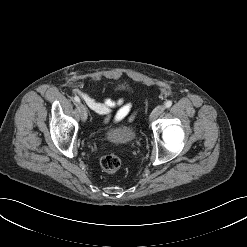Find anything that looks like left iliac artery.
Here are the masks:
<instances>
[{"mask_svg":"<svg viewBox=\"0 0 247 247\" xmlns=\"http://www.w3.org/2000/svg\"><path fill=\"white\" fill-rule=\"evenodd\" d=\"M171 105H172V101H171V100H168V101L165 103V107H166V108H169Z\"/></svg>","mask_w":247,"mask_h":247,"instance_id":"44dca946","label":"left iliac artery"}]
</instances>
